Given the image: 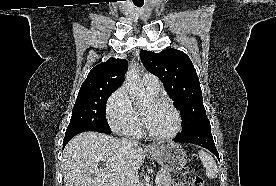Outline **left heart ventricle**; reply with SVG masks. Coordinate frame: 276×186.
<instances>
[{
  "label": "left heart ventricle",
  "mask_w": 276,
  "mask_h": 186,
  "mask_svg": "<svg viewBox=\"0 0 276 186\" xmlns=\"http://www.w3.org/2000/svg\"><path fill=\"white\" fill-rule=\"evenodd\" d=\"M150 130L156 134H170L177 126V117L167 105L155 104L151 100L141 109Z\"/></svg>",
  "instance_id": "b2bd125f"
}]
</instances>
